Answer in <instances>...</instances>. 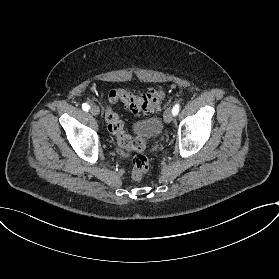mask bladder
Masks as SVG:
<instances>
[{
    "label": "bladder",
    "mask_w": 279,
    "mask_h": 279,
    "mask_svg": "<svg viewBox=\"0 0 279 279\" xmlns=\"http://www.w3.org/2000/svg\"><path fill=\"white\" fill-rule=\"evenodd\" d=\"M163 133V122L158 117L135 121L132 127V134L135 137L144 139L148 142L157 140Z\"/></svg>",
    "instance_id": "obj_1"
}]
</instances>
